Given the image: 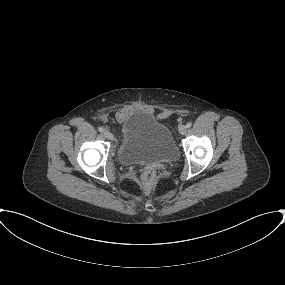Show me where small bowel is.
I'll return each instance as SVG.
<instances>
[{
    "mask_svg": "<svg viewBox=\"0 0 285 285\" xmlns=\"http://www.w3.org/2000/svg\"><path fill=\"white\" fill-rule=\"evenodd\" d=\"M137 109V106L135 105H124L122 108H120L116 115L115 118L119 123H123L124 120L135 110Z\"/></svg>",
    "mask_w": 285,
    "mask_h": 285,
    "instance_id": "small-bowel-1",
    "label": "small bowel"
}]
</instances>
